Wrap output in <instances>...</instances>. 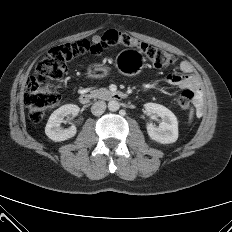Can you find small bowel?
Instances as JSON below:
<instances>
[{"label": "small bowel", "instance_id": "small-bowel-1", "mask_svg": "<svg viewBox=\"0 0 232 232\" xmlns=\"http://www.w3.org/2000/svg\"><path fill=\"white\" fill-rule=\"evenodd\" d=\"M179 69L181 73H173L168 75L165 79V83L184 90L195 92L197 100H200L202 96L201 83L191 62L183 60L179 65ZM200 109L201 106L199 110Z\"/></svg>", "mask_w": 232, "mask_h": 232}]
</instances>
